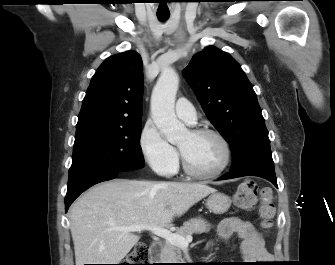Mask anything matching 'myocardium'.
<instances>
[{"instance_id":"obj_1","label":"myocardium","mask_w":335,"mask_h":265,"mask_svg":"<svg viewBox=\"0 0 335 265\" xmlns=\"http://www.w3.org/2000/svg\"><path fill=\"white\" fill-rule=\"evenodd\" d=\"M190 133L194 136L209 135V136H213L217 138L223 147L224 158H223L221 165L215 171L209 172V173H201L190 167L183 153L180 150L181 163H182V168L184 172L188 176L195 178V179H200V180H210V179H215L219 177L227 169L232 159V149H231L229 141L226 139L224 135H222L220 132L213 130V129H208V128L194 129L190 131Z\"/></svg>"}]
</instances>
